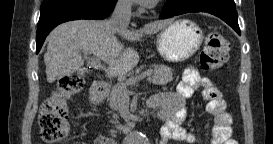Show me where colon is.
<instances>
[{"label":"colon","mask_w":273,"mask_h":144,"mask_svg":"<svg viewBox=\"0 0 273 144\" xmlns=\"http://www.w3.org/2000/svg\"><path fill=\"white\" fill-rule=\"evenodd\" d=\"M228 57V43L218 31L207 34L200 54V65L203 70H218ZM83 86L80 76H67L60 80L56 91L41 106L39 125L41 137L47 143L64 140L68 134V106L66 98L79 92Z\"/></svg>","instance_id":"5ec220e1"}]
</instances>
